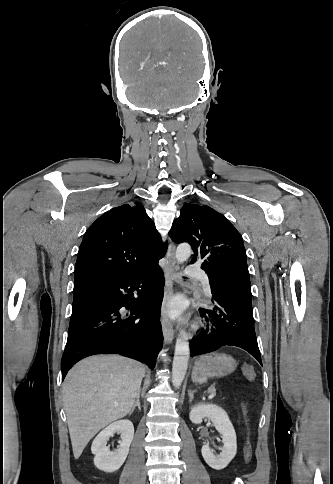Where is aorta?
<instances>
[{
	"label": "aorta",
	"mask_w": 333,
	"mask_h": 484,
	"mask_svg": "<svg viewBox=\"0 0 333 484\" xmlns=\"http://www.w3.org/2000/svg\"><path fill=\"white\" fill-rule=\"evenodd\" d=\"M191 255V247L187 243H182L176 248L175 257L177 262L186 261ZM190 350L189 342L183 338H177L175 344L174 359L172 365V383L179 388L187 372Z\"/></svg>",
	"instance_id": "aorta-1"
}]
</instances>
